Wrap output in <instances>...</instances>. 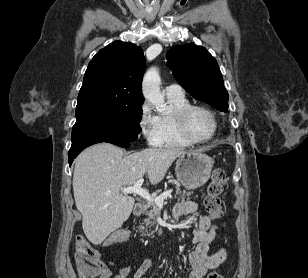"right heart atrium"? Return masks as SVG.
<instances>
[{
	"label": "right heart atrium",
	"instance_id": "right-heart-atrium-1",
	"mask_svg": "<svg viewBox=\"0 0 308 278\" xmlns=\"http://www.w3.org/2000/svg\"><path fill=\"white\" fill-rule=\"evenodd\" d=\"M138 127L148 145L159 146L160 132L158 118L152 113L147 103L141 106L138 117Z\"/></svg>",
	"mask_w": 308,
	"mask_h": 278
}]
</instances>
